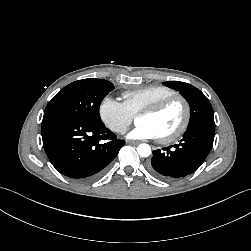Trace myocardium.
<instances>
[{
	"instance_id": "1",
	"label": "myocardium",
	"mask_w": 251,
	"mask_h": 251,
	"mask_svg": "<svg viewBox=\"0 0 251 251\" xmlns=\"http://www.w3.org/2000/svg\"><path fill=\"white\" fill-rule=\"evenodd\" d=\"M175 102H180L183 106V119L175 131L168 135L158 137V140L161 143L173 142L179 139L186 132L191 119V107L187 99L182 95L175 94L143 109L140 113H138V117L142 115H156L164 111L167 107Z\"/></svg>"
}]
</instances>
